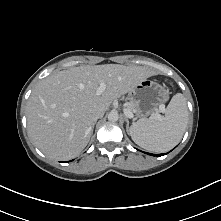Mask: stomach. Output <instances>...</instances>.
Returning a JSON list of instances; mask_svg holds the SVG:
<instances>
[{"mask_svg":"<svg viewBox=\"0 0 221 221\" xmlns=\"http://www.w3.org/2000/svg\"><path fill=\"white\" fill-rule=\"evenodd\" d=\"M169 90L159 83L145 79L130 91L133 111L139 117H147L169 98Z\"/></svg>","mask_w":221,"mask_h":221,"instance_id":"0dacf381","label":"stomach"}]
</instances>
